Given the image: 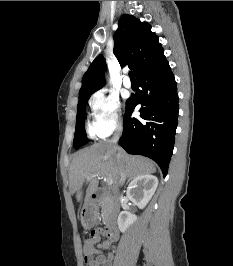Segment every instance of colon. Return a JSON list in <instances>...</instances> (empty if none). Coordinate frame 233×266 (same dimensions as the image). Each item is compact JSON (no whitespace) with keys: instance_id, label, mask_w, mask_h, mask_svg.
Returning a JSON list of instances; mask_svg holds the SVG:
<instances>
[{"instance_id":"5ec220e1","label":"colon","mask_w":233,"mask_h":266,"mask_svg":"<svg viewBox=\"0 0 233 266\" xmlns=\"http://www.w3.org/2000/svg\"><path fill=\"white\" fill-rule=\"evenodd\" d=\"M101 236H102V232H100L98 230H94L89 234L86 241L91 243V244H95V243L99 242Z\"/></svg>"}]
</instances>
